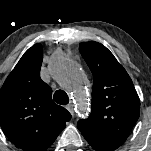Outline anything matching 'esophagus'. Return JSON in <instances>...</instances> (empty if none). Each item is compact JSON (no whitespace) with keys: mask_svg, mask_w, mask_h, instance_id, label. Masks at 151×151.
Returning a JSON list of instances; mask_svg holds the SVG:
<instances>
[{"mask_svg":"<svg viewBox=\"0 0 151 151\" xmlns=\"http://www.w3.org/2000/svg\"><path fill=\"white\" fill-rule=\"evenodd\" d=\"M66 109L71 113V115L74 114V111H73L74 106H73L72 103L68 104V105L66 106Z\"/></svg>","mask_w":151,"mask_h":151,"instance_id":"1","label":"esophagus"}]
</instances>
